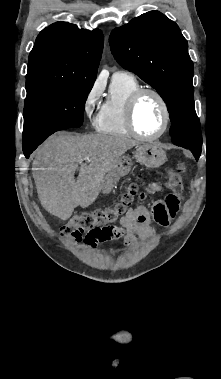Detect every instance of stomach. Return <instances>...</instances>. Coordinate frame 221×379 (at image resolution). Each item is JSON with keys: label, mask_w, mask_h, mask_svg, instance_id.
<instances>
[{"label": "stomach", "mask_w": 221, "mask_h": 379, "mask_svg": "<svg viewBox=\"0 0 221 379\" xmlns=\"http://www.w3.org/2000/svg\"><path fill=\"white\" fill-rule=\"evenodd\" d=\"M134 157L137 162L148 168H158L166 161L165 151L156 143H144L137 146ZM132 165V159L123 155L104 177L101 186L103 192L109 193L119 179L130 172Z\"/></svg>", "instance_id": "0dacf381"}]
</instances>
